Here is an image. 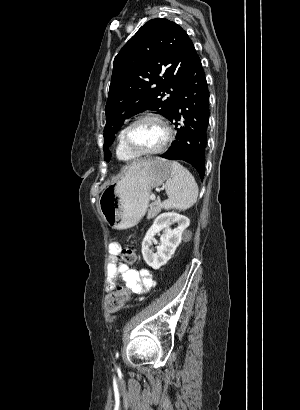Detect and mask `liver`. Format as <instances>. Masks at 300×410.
Segmentation results:
<instances>
[{
  "mask_svg": "<svg viewBox=\"0 0 300 410\" xmlns=\"http://www.w3.org/2000/svg\"><path fill=\"white\" fill-rule=\"evenodd\" d=\"M147 161H138V162H134L132 163V165L130 167H136V166H140V165H144ZM129 167V168H130Z\"/></svg>",
  "mask_w": 300,
  "mask_h": 410,
  "instance_id": "6515ba94",
  "label": "liver"
}]
</instances>
